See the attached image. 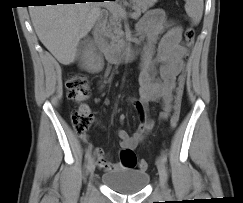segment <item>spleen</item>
Returning <instances> with one entry per match:
<instances>
[{"mask_svg":"<svg viewBox=\"0 0 243 203\" xmlns=\"http://www.w3.org/2000/svg\"><path fill=\"white\" fill-rule=\"evenodd\" d=\"M185 11L194 25L199 24L203 15V0H185Z\"/></svg>","mask_w":243,"mask_h":203,"instance_id":"1","label":"spleen"}]
</instances>
